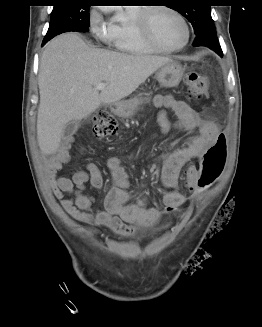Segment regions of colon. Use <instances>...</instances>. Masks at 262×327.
<instances>
[{
    "instance_id": "5ec220e1",
    "label": "colon",
    "mask_w": 262,
    "mask_h": 327,
    "mask_svg": "<svg viewBox=\"0 0 262 327\" xmlns=\"http://www.w3.org/2000/svg\"><path fill=\"white\" fill-rule=\"evenodd\" d=\"M185 83L190 97L199 99L207 96L209 80L205 75L197 71H191L186 75ZM117 129L116 121L108 110L102 109L96 112L93 118V133L96 137L104 138L113 135ZM226 153L225 137L219 135L217 140L203 153L197 162L195 190L186 198L183 204L194 201L200 192L206 190L215 182L224 168ZM182 205L167 208V211H179Z\"/></svg>"
}]
</instances>
